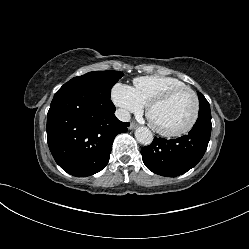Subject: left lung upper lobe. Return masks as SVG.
Returning <instances> with one entry per match:
<instances>
[{
	"instance_id": "left-lung-upper-lobe-1",
	"label": "left lung upper lobe",
	"mask_w": 249,
	"mask_h": 249,
	"mask_svg": "<svg viewBox=\"0 0 249 249\" xmlns=\"http://www.w3.org/2000/svg\"><path fill=\"white\" fill-rule=\"evenodd\" d=\"M198 97H199V103H200L199 116L211 115L210 105L208 101L206 100V98L204 97V95L198 92Z\"/></svg>"
}]
</instances>
